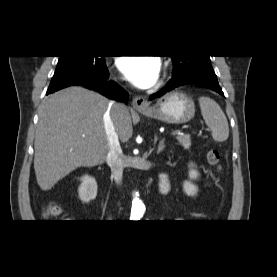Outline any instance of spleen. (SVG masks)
I'll return each instance as SVG.
<instances>
[{
	"mask_svg": "<svg viewBox=\"0 0 277 277\" xmlns=\"http://www.w3.org/2000/svg\"><path fill=\"white\" fill-rule=\"evenodd\" d=\"M199 105L206 125L217 142H224L229 136L227 118L220 106L209 97H200Z\"/></svg>",
	"mask_w": 277,
	"mask_h": 277,
	"instance_id": "1",
	"label": "spleen"
}]
</instances>
